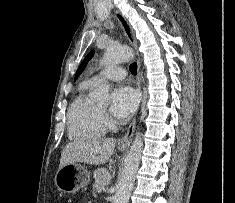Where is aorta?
<instances>
[{"mask_svg":"<svg viewBox=\"0 0 235 203\" xmlns=\"http://www.w3.org/2000/svg\"><path fill=\"white\" fill-rule=\"evenodd\" d=\"M134 57L133 50L127 46L109 44L105 50L101 64L105 67L118 65L131 60ZM93 99L100 104L109 103V85H101ZM143 149L142 134L137 133L130 151L126 157L122 178L118 184L114 203H128L131 191L133 189L135 176L139 168Z\"/></svg>","mask_w":235,"mask_h":203,"instance_id":"obj_1","label":"aorta"}]
</instances>
